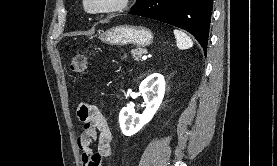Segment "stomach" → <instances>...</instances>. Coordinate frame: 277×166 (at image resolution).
Here are the masks:
<instances>
[{
    "mask_svg": "<svg viewBox=\"0 0 277 166\" xmlns=\"http://www.w3.org/2000/svg\"><path fill=\"white\" fill-rule=\"evenodd\" d=\"M99 38L113 46L134 44L145 47L152 43L153 33L142 26L118 25L103 32Z\"/></svg>",
    "mask_w": 277,
    "mask_h": 166,
    "instance_id": "1",
    "label": "stomach"
}]
</instances>
